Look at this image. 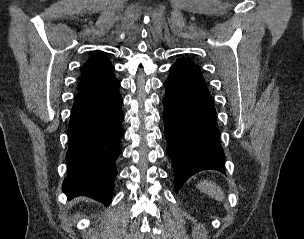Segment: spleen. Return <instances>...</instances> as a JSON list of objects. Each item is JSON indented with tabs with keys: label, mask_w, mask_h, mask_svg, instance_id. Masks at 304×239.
Segmentation results:
<instances>
[{
	"label": "spleen",
	"mask_w": 304,
	"mask_h": 239,
	"mask_svg": "<svg viewBox=\"0 0 304 239\" xmlns=\"http://www.w3.org/2000/svg\"><path fill=\"white\" fill-rule=\"evenodd\" d=\"M198 188L215 200L219 202L224 201V194L222 189L214 182H208L204 180L198 184Z\"/></svg>",
	"instance_id": "obj_1"
}]
</instances>
